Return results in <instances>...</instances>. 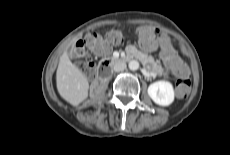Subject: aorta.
Wrapping results in <instances>:
<instances>
[{
    "label": "aorta",
    "instance_id": "aorta-1",
    "mask_svg": "<svg viewBox=\"0 0 230 155\" xmlns=\"http://www.w3.org/2000/svg\"><path fill=\"white\" fill-rule=\"evenodd\" d=\"M128 67L130 70L132 71H136L139 69V62L136 61V60H131L129 63H128Z\"/></svg>",
    "mask_w": 230,
    "mask_h": 155
}]
</instances>
